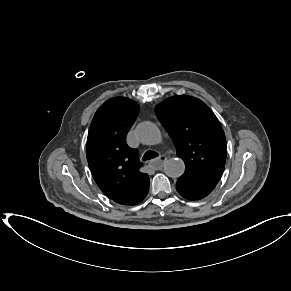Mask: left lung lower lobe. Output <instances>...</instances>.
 <instances>
[{"instance_id":"obj_1","label":"left lung lower lobe","mask_w":291,"mask_h":291,"mask_svg":"<svg viewBox=\"0 0 291 291\" xmlns=\"http://www.w3.org/2000/svg\"><path fill=\"white\" fill-rule=\"evenodd\" d=\"M182 196L188 200H192V201L198 200V199L192 198L190 196H186V195H182Z\"/></svg>"}]
</instances>
